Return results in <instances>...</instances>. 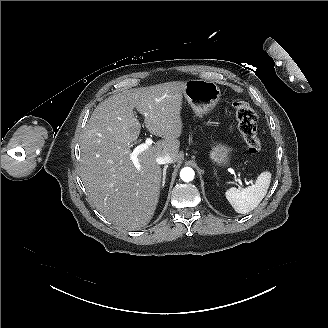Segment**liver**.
Here are the masks:
<instances>
[{
	"label": "liver",
	"mask_w": 328,
	"mask_h": 328,
	"mask_svg": "<svg viewBox=\"0 0 328 328\" xmlns=\"http://www.w3.org/2000/svg\"><path fill=\"white\" fill-rule=\"evenodd\" d=\"M183 92L184 82L174 81L112 95L94 109L80 136L85 188L96 209L121 228L138 229L154 215L162 174L156 159H178ZM134 108L147 130L163 138L138 155L140 171L130 159L141 130Z\"/></svg>",
	"instance_id": "6515ba94"
}]
</instances>
